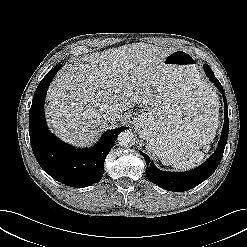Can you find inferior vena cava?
<instances>
[{
    "label": "inferior vena cava",
    "mask_w": 247,
    "mask_h": 247,
    "mask_svg": "<svg viewBox=\"0 0 247 247\" xmlns=\"http://www.w3.org/2000/svg\"><path fill=\"white\" fill-rule=\"evenodd\" d=\"M103 117L105 120H114L117 118H120V113L118 111H116L114 108H110L109 110H107L104 114Z\"/></svg>",
    "instance_id": "obj_1"
}]
</instances>
